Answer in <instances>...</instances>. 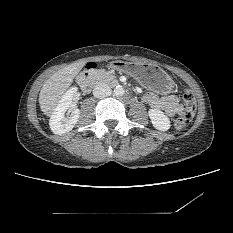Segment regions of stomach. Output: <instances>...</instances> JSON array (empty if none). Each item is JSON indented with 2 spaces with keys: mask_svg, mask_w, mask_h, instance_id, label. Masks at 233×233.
<instances>
[{
  "mask_svg": "<svg viewBox=\"0 0 233 233\" xmlns=\"http://www.w3.org/2000/svg\"><path fill=\"white\" fill-rule=\"evenodd\" d=\"M112 68L136 79L142 86L159 94H169L174 88L172 78L159 66L150 63L113 61Z\"/></svg>",
  "mask_w": 233,
  "mask_h": 233,
  "instance_id": "0dacf381",
  "label": "stomach"
}]
</instances>
